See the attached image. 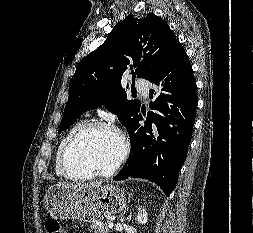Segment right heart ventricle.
<instances>
[{"label":"right heart ventricle","instance_id":"1","mask_svg":"<svg viewBox=\"0 0 253 233\" xmlns=\"http://www.w3.org/2000/svg\"><path fill=\"white\" fill-rule=\"evenodd\" d=\"M85 124H87V121L85 119H81L77 121L62 137L61 141L59 142L56 152H55V157H54V169L55 173L59 177H66L62 167H61V158L63 154V150L68 143V141L71 139V137L79 130L81 129Z\"/></svg>","mask_w":253,"mask_h":233}]
</instances>
